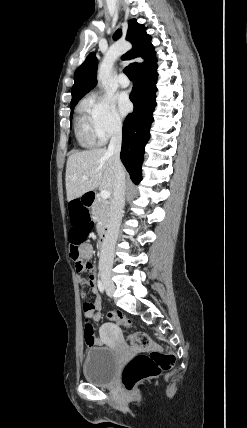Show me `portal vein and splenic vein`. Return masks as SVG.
Listing matches in <instances>:
<instances>
[{
    "mask_svg": "<svg viewBox=\"0 0 247 428\" xmlns=\"http://www.w3.org/2000/svg\"><path fill=\"white\" fill-rule=\"evenodd\" d=\"M87 176H83V179H87ZM100 196L102 199L106 200L111 196V192L109 190H101Z\"/></svg>",
    "mask_w": 247,
    "mask_h": 428,
    "instance_id": "portal-vein-and-splenic-vein-1",
    "label": "portal vein and splenic vein"
}]
</instances>
